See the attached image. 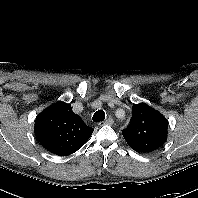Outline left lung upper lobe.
<instances>
[{
    "instance_id": "obj_1",
    "label": "left lung upper lobe",
    "mask_w": 198,
    "mask_h": 198,
    "mask_svg": "<svg viewBox=\"0 0 198 198\" xmlns=\"http://www.w3.org/2000/svg\"><path fill=\"white\" fill-rule=\"evenodd\" d=\"M167 119L145 103L134 104L130 125L122 131L129 146L138 153H150L167 140Z\"/></svg>"
}]
</instances>
